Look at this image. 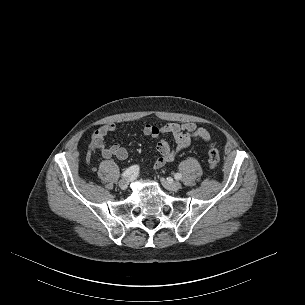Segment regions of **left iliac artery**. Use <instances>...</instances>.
<instances>
[{
	"instance_id": "44dca946",
	"label": "left iliac artery",
	"mask_w": 305,
	"mask_h": 305,
	"mask_svg": "<svg viewBox=\"0 0 305 305\" xmlns=\"http://www.w3.org/2000/svg\"><path fill=\"white\" fill-rule=\"evenodd\" d=\"M174 177H175V179L179 180V179H181V174L180 173H176L174 175Z\"/></svg>"
}]
</instances>
